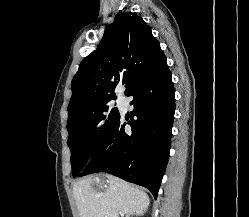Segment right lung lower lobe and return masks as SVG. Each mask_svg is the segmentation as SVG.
<instances>
[{"label":"right lung lower lobe","instance_id":"right-lung-lower-lobe-1","mask_svg":"<svg viewBox=\"0 0 249 217\" xmlns=\"http://www.w3.org/2000/svg\"><path fill=\"white\" fill-rule=\"evenodd\" d=\"M125 95L134 97L127 122L131 132H125L120 116L79 176L107 169L146 187L156 199L168 162L175 112V90L163 52Z\"/></svg>","mask_w":249,"mask_h":217}]
</instances>
